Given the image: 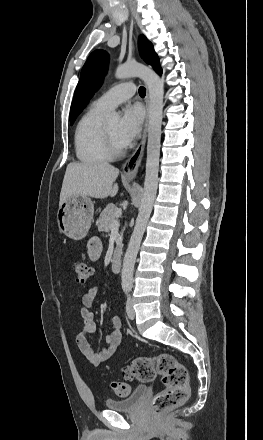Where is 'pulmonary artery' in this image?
<instances>
[{
  "label": "pulmonary artery",
  "mask_w": 263,
  "mask_h": 440,
  "mask_svg": "<svg viewBox=\"0 0 263 440\" xmlns=\"http://www.w3.org/2000/svg\"><path fill=\"white\" fill-rule=\"evenodd\" d=\"M135 92L136 86L133 83H121L106 91L96 103L105 109H113L133 97Z\"/></svg>",
  "instance_id": "obj_1"
}]
</instances>
